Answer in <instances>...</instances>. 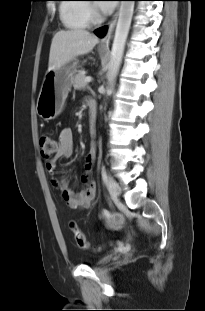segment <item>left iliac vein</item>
I'll use <instances>...</instances> for the list:
<instances>
[{
    "label": "left iliac vein",
    "instance_id": "left-iliac-vein-1",
    "mask_svg": "<svg viewBox=\"0 0 205 311\" xmlns=\"http://www.w3.org/2000/svg\"><path fill=\"white\" fill-rule=\"evenodd\" d=\"M107 183V188L110 193V195L114 198L117 199L119 194H120V186L119 184L111 177H109L106 181Z\"/></svg>",
    "mask_w": 205,
    "mask_h": 311
}]
</instances>
